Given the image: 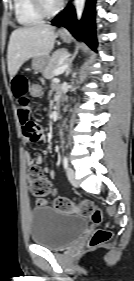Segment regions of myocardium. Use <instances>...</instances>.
<instances>
[{
  "label": "myocardium",
  "mask_w": 134,
  "mask_h": 281,
  "mask_svg": "<svg viewBox=\"0 0 134 281\" xmlns=\"http://www.w3.org/2000/svg\"><path fill=\"white\" fill-rule=\"evenodd\" d=\"M36 10L45 17H50L59 12L62 7V1H58L53 7L47 5L45 0H32Z\"/></svg>",
  "instance_id": "1"
}]
</instances>
